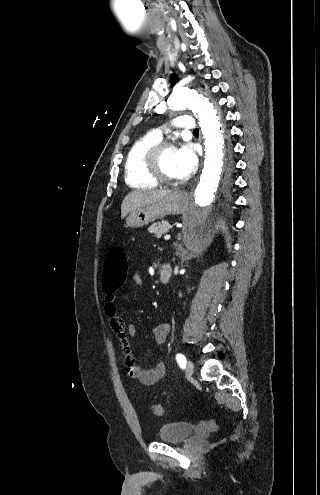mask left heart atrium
I'll use <instances>...</instances> for the list:
<instances>
[{
  "label": "left heart atrium",
  "instance_id": "left-heart-atrium-1",
  "mask_svg": "<svg viewBox=\"0 0 320 495\" xmlns=\"http://www.w3.org/2000/svg\"><path fill=\"white\" fill-rule=\"evenodd\" d=\"M197 166V157L190 145H183L176 149V167L179 178L190 176Z\"/></svg>",
  "mask_w": 320,
  "mask_h": 495
}]
</instances>
